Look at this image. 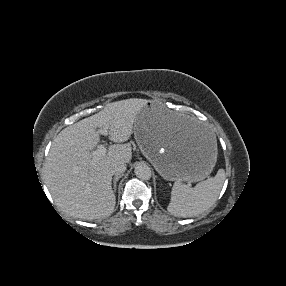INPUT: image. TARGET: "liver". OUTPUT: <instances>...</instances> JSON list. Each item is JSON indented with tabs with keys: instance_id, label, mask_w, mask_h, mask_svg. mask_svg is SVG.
<instances>
[{
	"instance_id": "6515ba94",
	"label": "liver",
	"mask_w": 286,
	"mask_h": 286,
	"mask_svg": "<svg viewBox=\"0 0 286 286\" xmlns=\"http://www.w3.org/2000/svg\"><path fill=\"white\" fill-rule=\"evenodd\" d=\"M147 103L137 98L108 103L99 113L64 128L54 138L45 163V181L56 205L68 215L93 220L113 212L116 198L109 168L114 161L131 162L132 147L124 142L130 139L136 116ZM171 115L183 133H204L190 116ZM98 127L107 128L110 139L118 144L109 146L106 154L93 162L91 150L100 140Z\"/></svg>"
}]
</instances>
